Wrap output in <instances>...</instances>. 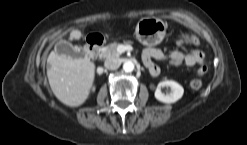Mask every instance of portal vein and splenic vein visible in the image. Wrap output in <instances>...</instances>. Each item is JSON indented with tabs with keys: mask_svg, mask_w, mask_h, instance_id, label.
I'll return each mask as SVG.
<instances>
[{
	"mask_svg": "<svg viewBox=\"0 0 247 145\" xmlns=\"http://www.w3.org/2000/svg\"><path fill=\"white\" fill-rule=\"evenodd\" d=\"M119 48H120V52H124L128 49V46L120 45Z\"/></svg>",
	"mask_w": 247,
	"mask_h": 145,
	"instance_id": "portal-vein-and-splenic-vein-1",
	"label": "portal vein and splenic vein"
}]
</instances>
